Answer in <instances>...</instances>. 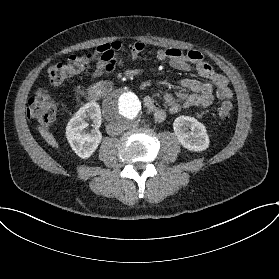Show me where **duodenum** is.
<instances>
[{
	"label": "duodenum",
	"instance_id": "obj_1",
	"mask_svg": "<svg viewBox=\"0 0 279 279\" xmlns=\"http://www.w3.org/2000/svg\"><path fill=\"white\" fill-rule=\"evenodd\" d=\"M113 89V85L109 81H103L96 83L90 87L88 91V98L91 100H97L102 96L109 94Z\"/></svg>",
	"mask_w": 279,
	"mask_h": 279
}]
</instances>
